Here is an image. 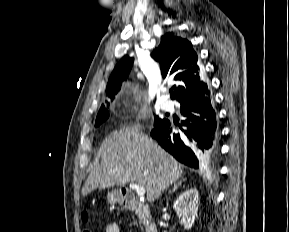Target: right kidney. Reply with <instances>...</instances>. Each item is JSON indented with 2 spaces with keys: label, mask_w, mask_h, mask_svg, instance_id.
<instances>
[{
  "label": "right kidney",
  "mask_w": 289,
  "mask_h": 232,
  "mask_svg": "<svg viewBox=\"0 0 289 232\" xmlns=\"http://www.w3.org/2000/svg\"><path fill=\"white\" fill-rule=\"evenodd\" d=\"M199 195L197 189H188L184 191L175 200L173 209L176 211L179 218L183 222L186 230L191 229L194 224L195 217L198 212Z\"/></svg>",
  "instance_id": "obj_1"
}]
</instances>
